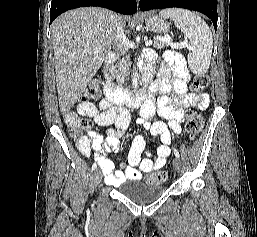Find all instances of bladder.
Returning <instances> with one entry per match:
<instances>
[{
  "label": "bladder",
  "mask_w": 257,
  "mask_h": 237,
  "mask_svg": "<svg viewBox=\"0 0 257 237\" xmlns=\"http://www.w3.org/2000/svg\"><path fill=\"white\" fill-rule=\"evenodd\" d=\"M166 190L162 183L151 184L133 180L123 189V195L138 205H147L157 200Z\"/></svg>",
  "instance_id": "obj_1"
}]
</instances>
